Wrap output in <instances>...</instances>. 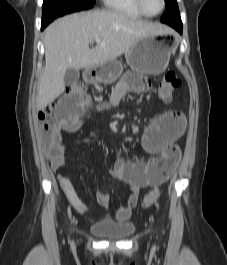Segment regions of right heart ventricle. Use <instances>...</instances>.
<instances>
[{
	"instance_id": "e07e8e85",
	"label": "right heart ventricle",
	"mask_w": 227,
	"mask_h": 265,
	"mask_svg": "<svg viewBox=\"0 0 227 265\" xmlns=\"http://www.w3.org/2000/svg\"><path fill=\"white\" fill-rule=\"evenodd\" d=\"M103 2L105 6L113 12L133 18L143 16L137 8L135 0H103Z\"/></svg>"
}]
</instances>
